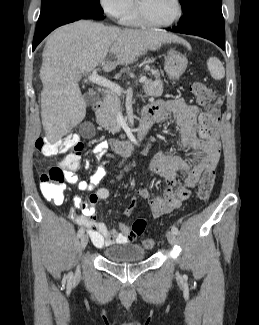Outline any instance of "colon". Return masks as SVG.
<instances>
[{"instance_id": "1", "label": "colon", "mask_w": 259, "mask_h": 325, "mask_svg": "<svg viewBox=\"0 0 259 325\" xmlns=\"http://www.w3.org/2000/svg\"><path fill=\"white\" fill-rule=\"evenodd\" d=\"M191 93L208 113L209 118L206 123L207 129H218L219 123L217 121V96L215 91L207 86L205 83L196 81L190 86ZM82 142L79 137L74 134H68L62 139L54 142L39 138L36 141V148L45 155H55L59 152L71 151L69 155L77 157L82 150ZM214 171L205 173L198 186V198L205 202L209 199L210 193L214 184ZM65 171L62 166H55L49 171L43 173L39 178V187L45 199L54 203H61L63 201V192L65 188ZM135 207L132 201L125 210L126 214L132 212ZM146 229V221L143 219H136L132 223V230L137 235H142ZM143 246L147 249H152L156 245L155 239L147 237L143 239Z\"/></svg>"}]
</instances>
